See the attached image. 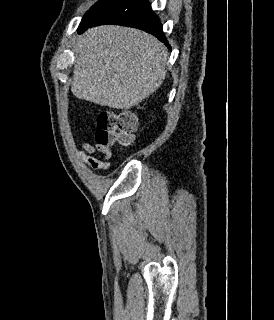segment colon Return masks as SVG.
<instances>
[{
  "label": "colon",
  "mask_w": 274,
  "mask_h": 320,
  "mask_svg": "<svg viewBox=\"0 0 274 320\" xmlns=\"http://www.w3.org/2000/svg\"><path fill=\"white\" fill-rule=\"evenodd\" d=\"M137 128V115L130 110L124 109L118 113L103 110L96 116L94 143H105L106 149H109L115 139L121 146H129L135 140Z\"/></svg>",
  "instance_id": "obj_1"
}]
</instances>
